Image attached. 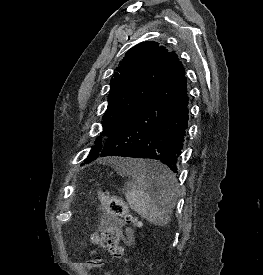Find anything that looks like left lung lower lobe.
Segmentation results:
<instances>
[{
  "label": "left lung lower lobe",
  "mask_w": 263,
  "mask_h": 275,
  "mask_svg": "<svg viewBox=\"0 0 263 275\" xmlns=\"http://www.w3.org/2000/svg\"><path fill=\"white\" fill-rule=\"evenodd\" d=\"M188 114L187 79L176 55L161 81L124 125L105 140L93 160L105 156L148 158L177 173ZM145 174L148 182L161 185L162 190L171 182V177L162 171L146 169Z\"/></svg>",
  "instance_id": "0a47b994"
}]
</instances>
